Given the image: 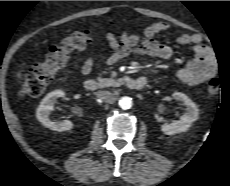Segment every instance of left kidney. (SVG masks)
<instances>
[{
  "label": "left kidney",
  "mask_w": 230,
  "mask_h": 186,
  "mask_svg": "<svg viewBox=\"0 0 230 186\" xmlns=\"http://www.w3.org/2000/svg\"><path fill=\"white\" fill-rule=\"evenodd\" d=\"M172 96L186 106V112L178 121L175 120L171 123H165L162 125L161 130L166 135H174L187 131L192 123L199 117V110L196 104L188 96L181 92H175Z\"/></svg>",
  "instance_id": "1"
}]
</instances>
